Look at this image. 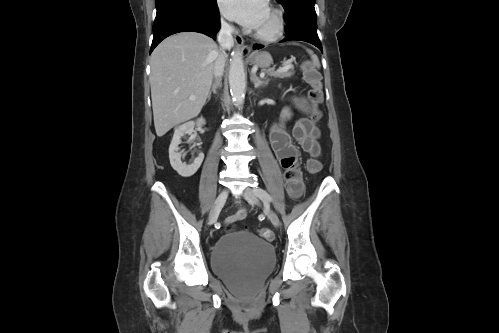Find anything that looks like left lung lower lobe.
Returning a JSON list of instances; mask_svg holds the SVG:
<instances>
[{
    "mask_svg": "<svg viewBox=\"0 0 499 333\" xmlns=\"http://www.w3.org/2000/svg\"><path fill=\"white\" fill-rule=\"evenodd\" d=\"M314 2L292 1L285 9L284 19L287 22L286 37L283 41L299 40L309 42L322 51V45L317 34L316 12ZM255 45L254 49H261Z\"/></svg>",
    "mask_w": 499,
    "mask_h": 333,
    "instance_id": "obj_1",
    "label": "left lung lower lobe"
}]
</instances>
